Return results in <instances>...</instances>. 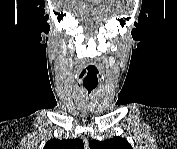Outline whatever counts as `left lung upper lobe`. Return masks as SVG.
Segmentation results:
<instances>
[{
  "mask_svg": "<svg viewBox=\"0 0 177 149\" xmlns=\"http://www.w3.org/2000/svg\"><path fill=\"white\" fill-rule=\"evenodd\" d=\"M89 146L91 149H132L128 141L119 136L104 141L92 140Z\"/></svg>",
  "mask_w": 177,
  "mask_h": 149,
  "instance_id": "5c2ea615",
  "label": "left lung upper lobe"
}]
</instances>
